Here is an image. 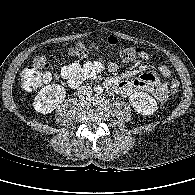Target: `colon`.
Returning a JSON list of instances; mask_svg holds the SVG:
<instances>
[{
    "label": "colon",
    "mask_w": 195,
    "mask_h": 195,
    "mask_svg": "<svg viewBox=\"0 0 195 195\" xmlns=\"http://www.w3.org/2000/svg\"><path fill=\"white\" fill-rule=\"evenodd\" d=\"M107 45L113 49L118 50L120 58L124 62H134L139 59L143 53V50L139 48H121L119 47V41L115 37L107 38ZM99 45L85 44L84 42H78L74 45L69 54L74 57L84 58L88 56L92 51L98 50ZM50 65V57L46 54H41L35 57L33 63L24 67L20 72L21 86L26 91H31L44 83L51 80L52 75L49 73H40V69H45ZM170 92L172 95H176L179 92V82L172 78L170 84Z\"/></svg>",
    "instance_id": "5ec220e1"
}]
</instances>
